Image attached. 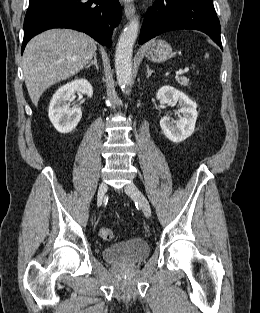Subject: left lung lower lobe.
<instances>
[{
	"mask_svg": "<svg viewBox=\"0 0 260 313\" xmlns=\"http://www.w3.org/2000/svg\"><path fill=\"white\" fill-rule=\"evenodd\" d=\"M194 29L220 46V22L212 0H157L145 15L139 44L172 30Z\"/></svg>",
	"mask_w": 260,
	"mask_h": 313,
	"instance_id": "0a47b994",
	"label": "left lung lower lobe"
}]
</instances>
